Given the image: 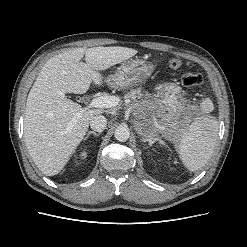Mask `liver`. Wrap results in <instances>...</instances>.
<instances>
[{"label":"liver","instance_id":"1","mask_svg":"<svg viewBox=\"0 0 247 247\" xmlns=\"http://www.w3.org/2000/svg\"><path fill=\"white\" fill-rule=\"evenodd\" d=\"M137 54L127 47L75 48L50 58L42 67L27 98L24 138L28 152L46 176L58 174L85 136L91 119L102 109H87L66 98L83 94L100 73ZM85 55V63L81 59ZM75 119V121H74Z\"/></svg>","mask_w":247,"mask_h":247}]
</instances>
